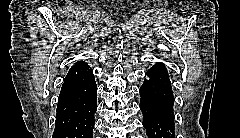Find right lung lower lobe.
<instances>
[{
    "instance_id": "right-lung-lower-lobe-1",
    "label": "right lung lower lobe",
    "mask_w": 240,
    "mask_h": 138,
    "mask_svg": "<svg viewBox=\"0 0 240 138\" xmlns=\"http://www.w3.org/2000/svg\"><path fill=\"white\" fill-rule=\"evenodd\" d=\"M94 75L62 85L53 138H93L97 110Z\"/></svg>"
}]
</instances>
